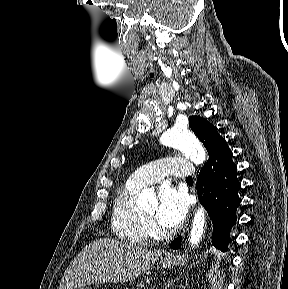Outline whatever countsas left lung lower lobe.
Masks as SVG:
<instances>
[{"label":"left lung lower lobe","instance_id":"obj_1","mask_svg":"<svg viewBox=\"0 0 288 289\" xmlns=\"http://www.w3.org/2000/svg\"><path fill=\"white\" fill-rule=\"evenodd\" d=\"M232 157L233 153L223 138L204 164L196 183L200 203L213 221L212 244L224 252L228 250L229 233L236 223V210L240 205V182ZM181 240V236L175 239L171 248L178 249Z\"/></svg>","mask_w":288,"mask_h":289}]
</instances>
